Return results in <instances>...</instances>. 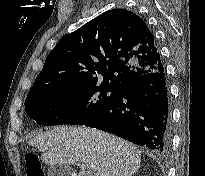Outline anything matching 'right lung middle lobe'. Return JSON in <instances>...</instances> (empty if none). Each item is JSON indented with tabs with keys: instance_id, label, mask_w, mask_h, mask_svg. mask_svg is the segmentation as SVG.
<instances>
[{
	"instance_id": "1",
	"label": "right lung middle lobe",
	"mask_w": 205,
	"mask_h": 176,
	"mask_svg": "<svg viewBox=\"0 0 205 176\" xmlns=\"http://www.w3.org/2000/svg\"><path fill=\"white\" fill-rule=\"evenodd\" d=\"M118 89L110 86H66L27 95L25 111L39 125H86L111 102Z\"/></svg>"
}]
</instances>
